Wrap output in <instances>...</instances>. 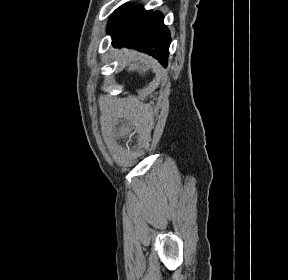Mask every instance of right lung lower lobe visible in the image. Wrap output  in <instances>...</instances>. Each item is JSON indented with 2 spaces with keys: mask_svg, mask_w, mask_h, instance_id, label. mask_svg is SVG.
Returning <instances> with one entry per match:
<instances>
[{
  "mask_svg": "<svg viewBox=\"0 0 288 280\" xmlns=\"http://www.w3.org/2000/svg\"><path fill=\"white\" fill-rule=\"evenodd\" d=\"M160 12L144 10L141 5H123L109 18L108 32L114 47H132L167 65L170 32Z\"/></svg>",
  "mask_w": 288,
  "mask_h": 280,
  "instance_id": "1",
  "label": "right lung lower lobe"
}]
</instances>
